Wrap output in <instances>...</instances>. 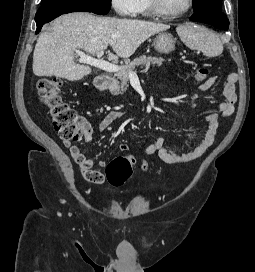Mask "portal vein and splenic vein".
I'll return each mask as SVG.
<instances>
[{"label":"portal vein and splenic vein","instance_id":"obj_1","mask_svg":"<svg viewBox=\"0 0 255 272\" xmlns=\"http://www.w3.org/2000/svg\"><path fill=\"white\" fill-rule=\"evenodd\" d=\"M76 53L78 54L79 61L83 62V63H87L89 65H93L95 67H98L104 71L107 72H118L120 71L121 67H119L118 65L114 64V63H110L107 61H104L101 57L103 55V51H99L97 53V58H94L90 55H86L84 52H82L81 50H76ZM130 76L135 75V72L131 71L129 72Z\"/></svg>","mask_w":255,"mask_h":272}]
</instances>
